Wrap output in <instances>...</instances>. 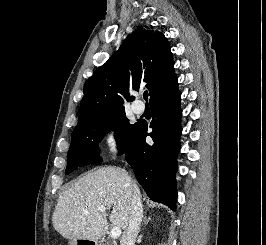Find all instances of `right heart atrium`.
<instances>
[{
  "label": "right heart atrium",
  "instance_id": "right-heart-atrium-1",
  "mask_svg": "<svg viewBox=\"0 0 266 245\" xmlns=\"http://www.w3.org/2000/svg\"><path fill=\"white\" fill-rule=\"evenodd\" d=\"M100 147L107 156L114 157L120 150V137L116 130L106 131L100 139Z\"/></svg>",
  "mask_w": 266,
  "mask_h": 245
}]
</instances>
